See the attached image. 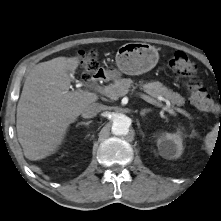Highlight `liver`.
Segmentation results:
<instances>
[{"instance_id":"6515ba94","label":"liver","mask_w":221,"mask_h":221,"mask_svg":"<svg viewBox=\"0 0 221 221\" xmlns=\"http://www.w3.org/2000/svg\"><path fill=\"white\" fill-rule=\"evenodd\" d=\"M79 57H57L35 65L26 76L17 105L18 141L29 160L56 152L82 109L97 101L94 93L70 91Z\"/></svg>"}]
</instances>
